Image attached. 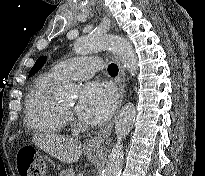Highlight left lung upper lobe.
<instances>
[{"label": "left lung upper lobe", "instance_id": "1", "mask_svg": "<svg viewBox=\"0 0 205 176\" xmlns=\"http://www.w3.org/2000/svg\"><path fill=\"white\" fill-rule=\"evenodd\" d=\"M46 57L41 56L37 59L35 65L32 67V69L29 72V75L35 73L37 70H39L45 63Z\"/></svg>", "mask_w": 205, "mask_h": 176}]
</instances>
